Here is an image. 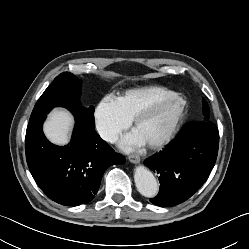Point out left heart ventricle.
<instances>
[{
    "mask_svg": "<svg viewBox=\"0 0 249 249\" xmlns=\"http://www.w3.org/2000/svg\"><path fill=\"white\" fill-rule=\"evenodd\" d=\"M181 108V101L173 99L158 107L135 130L149 144L163 138L173 126Z\"/></svg>",
    "mask_w": 249,
    "mask_h": 249,
    "instance_id": "obj_1",
    "label": "left heart ventricle"
}]
</instances>
